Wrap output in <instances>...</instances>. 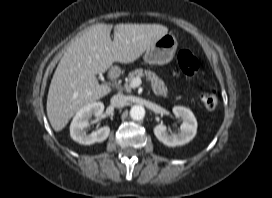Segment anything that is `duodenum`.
<instances>
[{
  "label": "duodenum",
  "instance_id": "duodenum-1",
  "mask_svg": "<svg viewBox=\"0 0 272 198\" xmlns=\"http://www.w3.org/2000/svg\"><path fill=\"white\" fill-rule=\"evenodd\" d=\"M112 77H113V78L115 77V73L112 74Z\"/></svg>",
  "mask_w": 272,
  "mask_h": 198
}]
</instances>
